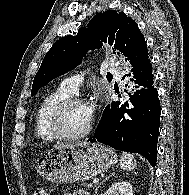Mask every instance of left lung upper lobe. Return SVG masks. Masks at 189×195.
Returning <instances> with one entry per match:
<instances>
[{
  "mask_svg": "<svg viewBox=\"0 0 189 195\" xmlns=\"http://www.w3.org/2000/svg\"><path fill=\"white\" fill-rule=\"evenodd\" d=\"M107 43L121 51L131 68L149 58L145 38L136 22L123 12L105 11L94 16L88 27L80 28L75 36H65L46 53L35 75L31 95L54 78L74 69L88 50Z\"/></svg>",
  "mask_w": 189,
  "mask_h": 195,
  "instance_id": "1",
  "label": "left lung upper lobe"
}]
</instances>
